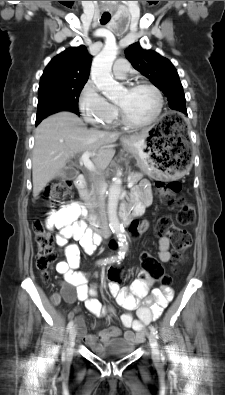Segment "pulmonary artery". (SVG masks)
<instances>
[{
  "instance_id": "obj_1",
  "label": "pulmonary artery",
  "mask_w": 225,
  "mask_h": 395,
  "mask_svg": "<svg viewBox=\"0 0 225 395\" xmlns=\"http://www.w3.org/2000/svg\"><path fill=\"white\" fill-rule=\"evenodd\" d=\"M129 69V64L125 59H119L115 62L113 66V75L116 78L123 79L126 77V74Z\"/></svg>"
}]
</instances>
